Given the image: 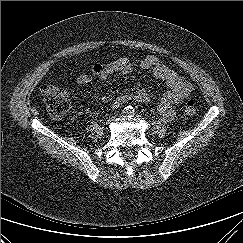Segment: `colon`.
I'll use <instances>...</instances> for the list:
<instances>
[{
    "label": "colon",
    "instance_id": "5ec220e1",
    "mask_svg": "<svg viewBox=\"0 0 243 243\" xmlns=\"http://www.w3.org/2000/svg\"><path fill=\"white\" fill-rule=\"evenodd\" d=\"M41 94L49 114L54 118L63 117L70 109V98L67 92L57 86L45 84L41 87ZM187 115L196 113V103L193 99H188L184 105Z\"/></svg>",
    "mask_w": 243,
    "mask_h": 243
}]
</instances>
